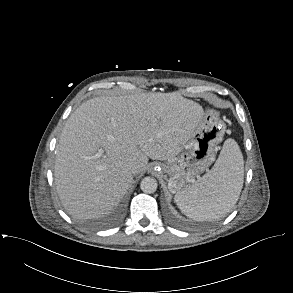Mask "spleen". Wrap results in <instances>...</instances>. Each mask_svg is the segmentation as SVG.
Masks as SVG:
<instances>
[{"mask_svg":"<svg viewBox=\"0 0 293 293\" xmlns=\"http://www.w3.org/2000/svg\"><path fill=\"white\" fill-rule=\"evenodd\" d=\"M243 179L241 150L235 140L227 139L212 169L194 185L178 191L174 200L189 218L199 221L219 219L236 204Z\"/></svg>","mask_w":293,"mask_h":293,"instance_id":"spleen-1","label":"spleen"}]
</instances>
